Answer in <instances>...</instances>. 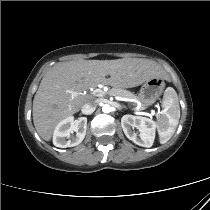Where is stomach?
I'll return each instance as SVG.
<instances>
[{
    "label": "stomach",
    "instance_id": "0dacf381",
    "mask_svg": "<svg viewBox=\"0 0 210 210\" xmlns=\"http://www.w3.org/2000/svg\"><path fill=\"white\" fill-rule=\"evenodd\" d=\"M164 87L165 83L161 78H152L145 81L138 95L142 107L145 108L155 103L162 94Z\"/></svg>",
    "mask_w": 210,
    "mask_h": 210
}]
</instances>
